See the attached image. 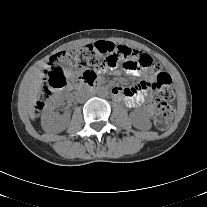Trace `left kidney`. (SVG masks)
I'll return each instance as SVG.
<instances>
[{
  "label": "left kidney",
  "mask_w": 207,
  "mask_h": 207,
  "mask_svg": "<svg viewBox=\"0 0 207 207\" xmlns=\"http://www.w3.org/2000/svg\"><path fill=\"white\" fill-rule=\"evenodd\" d=\"M132 124L135 128L140 130H149L151 128V122L149 118L140 111H135L130 114Z\"/></svg>",
  "instance_id": "1"
}]
</instances>
